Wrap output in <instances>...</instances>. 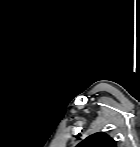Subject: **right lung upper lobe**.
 <instances>
[{"instance_id": "1", "label": "right lung upper lobe", "mask_w": 140, "mask_h": 147, "mask_svg": "<svg viewBox=\"0 0 140 147\" xmlns=\"http://www.w3.org/2000/svg\"><path fill=\"white\" fill-rule=\"evenodd\" d=\"M81 147H116L115 141L103 132L95 133L82 141Z\"/></svg>"}]
</instances>
